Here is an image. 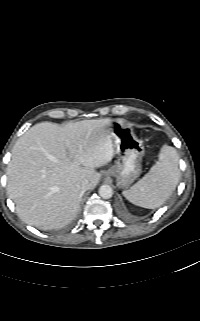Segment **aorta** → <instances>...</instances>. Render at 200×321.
I'll use <instances>...</instances> for the list:
<instances>
[{"mask_svg": "<svg viewBox=\"0 0 200 321\" xmlns=\"http://www.w3.org/2000/svg\"><path fill=\"white\" fill-rule=\"evenodd\" d=\"M99 195L103 198V199H109L112 197L113 195V189L110 185H102L99 188Z\"/></svg>", "mask_w": 200, "mask_h": 321, "instance_id": "obj_1", "label": "aorta"}]
</instances>
